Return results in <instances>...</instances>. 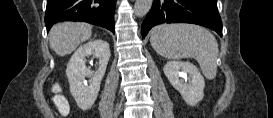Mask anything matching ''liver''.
<instances>
[{"instance_id": "obj_1", "label": "liver", "mask_w": 273, "mask_h": 118, "mask_svg": "<svg viewBox=\"0 0 273 118\" xmlns=\"http://www.w3.org/2000/svg\"><path fill=\"white\" fill-rule=\"evenodd\" d=\"M92 27L85 23L63 22L54 25L49 33L50 48L59 56L72 53L79 44L89 40Z\"/></svg>"}]
</instances>
